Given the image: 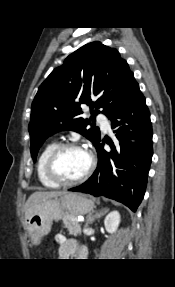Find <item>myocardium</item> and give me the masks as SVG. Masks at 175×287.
Listing matches in <instances>:
<instances>
[{
    "instance_id": "1",
    "label": "myocardium",
    "mask_w": 175,
    "mask_h": 287,
    "mask_svg": "<svg viewBox=\"0 0 175 287\" xmlns=\"http://www.w3.org/2000/svg\"><path fill=\"white\" fill-rule=\"evenodd\" d=\"M66 149H81V150L86 151L89 155L90 163H89L87 170L80 177L74 180H65L61 178L57 174L56 169H55L57 158ZM95 166H96V159H95L94 154L90 150H88L87 148H85L84 146L76 142H64V143L58 144L52 150V152L50 153L46 161L45 170H46L47 177L53 182H55L56 184H58L59 186H73V185H77V184H80L86 181L90 177V175L93 173Z\"/></svg>"
}]
</instances>
